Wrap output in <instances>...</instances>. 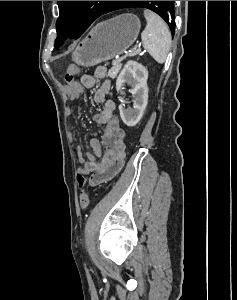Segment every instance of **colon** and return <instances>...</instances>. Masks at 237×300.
I'll use <instances>...</instances> for the list:
<instances>
[{
  "label": "colon",
  "instance_id": "colon-1",
  "mask_svg": "<svg viewBox=\"0 0 237 300\" xmlns=\"http://www.w3.org/2000/svg\"><path fill=\"white\" fill-rule=\"evenodd\" d=\"M78 70H79L78 66H76V65H70L68 67L67 73H66V81H67V83L70 86L74 87V88H78L79 87V83L75 80V75L77 74ZM86 180H87L86 179V175L79 171L77 173V182H78V185L80 187H82L85 184ZM81 200H83V201L87 200V197H86L85 194L81 195Z\"/></svg>",
  "mask_w": 237,
  "mask_h": 300
}]
</instances>
